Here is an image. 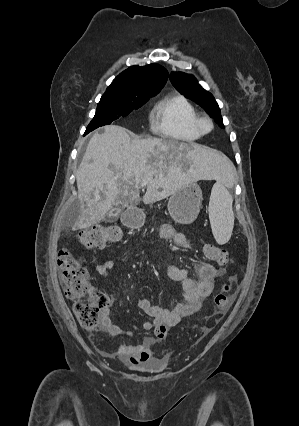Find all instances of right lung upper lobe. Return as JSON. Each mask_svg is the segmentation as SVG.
Instances as JSON below:
<instances>
[{
	"label": "right lung upper lobe",
	"instance_id": "right-lung-upper-lobe-1",
	"mask_svg": "<svg viewBox=\"0 0 299 426\" xmlns=\"http://www.w3.org/2000/svg\"><path fill=\"white\" fill-rule=\"evenodd\" d=\"M167 78V70L158 64L132 66L117 76L106 92L124 98H136L147 91H160Z\"/></svg>",
	"mask_w": 299,
	"mask_h": 426
}]
</instances>
